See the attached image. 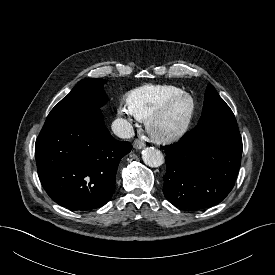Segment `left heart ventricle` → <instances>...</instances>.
<instances>
[{"label": "left heart ventricle", "instance_id": "1", "mask_svg": "<svg viewBox=\"0 0 275 275\" xmlns=\"http://www.w3.org/2000/svg\"><path fill=\"white\" fill-rule=\"evenodd\" d=\"M187 105L185 101L176 103L159 121V128L170 129L177 126L183 119Z\"/></svg>", "mask_w": 275, "mask_h": 275}]
</instances>
